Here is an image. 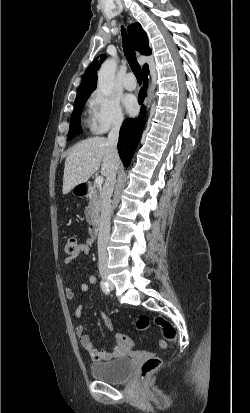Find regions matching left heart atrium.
<instances>
[{
    "label": "left heart atrium",
    "instance_id": "left-heart-atrium-1",
    "mask_svg": "<svg viewBox=\"0 0 250 413\" xmlns=\"http://www.w3.org/2000/svg\"><path fill=\"white\" fill-rule=\"evenodd\" d=\"M124 106L129 113L135 112L137 108L136 99L133 95H126L123 99Z\"/></svg>",
    "mask_w": 250,
    "mask_h": 413
}]
</instances>
